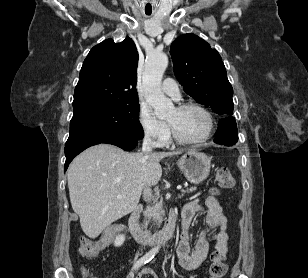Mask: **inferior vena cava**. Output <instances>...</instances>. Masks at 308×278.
I'll return each mask as SVG.
<instances>
[{"mask_svg": "<svg viewBox=\"0 0 308 278\" xmlns=\"http://www.w3.org/2000/svg\"><path fill=\"white\" fill-rule=\"evenodd\" d=\"M142 151L145 153L147 156L149 153L152 151V139L149 135H146L144 140H143V145H142ZM143 197L145 201H150L152 197V191L150 188H146L143 191Z\"/></svg>", "mask_w": 308, "mask_h": 278, "instance_id": "602c4592", "label": "inferior vena cava"}]
</instances>
